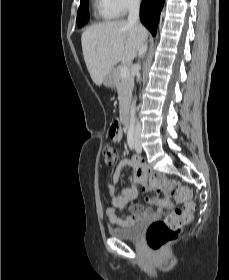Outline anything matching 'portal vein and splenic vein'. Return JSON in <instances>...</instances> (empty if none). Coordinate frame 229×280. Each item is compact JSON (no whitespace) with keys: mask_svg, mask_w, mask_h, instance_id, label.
<instances>
[{"mask_svg":"<svg viewBox=\"0 0 229 280\" xmlns=\"http://www.w3.org/2000/svg\"><path fill=\"white\" fill-rule=\"evenodd\" d=\"M120 75L124 78L129 75V68L127 66H123L120 70Z\"/></svg>","mask_w":229,"mask_h":280,"instance_id":"1","label":"portal vein and splenic vein"}]
</instances>
